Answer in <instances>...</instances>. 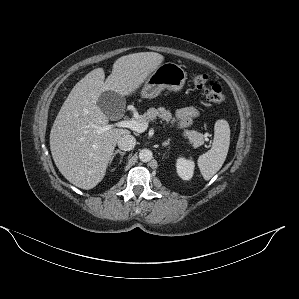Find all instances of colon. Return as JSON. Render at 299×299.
Segmentation results:
<instances>
[{
    "mask_svg": "<svg viewBox=\"0 0 299 299\" xmlns=\"http://www.w3.org/2000/svg\"><path fill=\"white\" fill-rule=\"evenodd\" d=\"M192 84L199 90H201L206 98L214 103H223L227 99V95L224 89L209 76L203 72H193L190 74Z\"/></svg>",
    "mask_w": 299,
    "mask_h": 299,
    "instance_id": "5ec220e1",
    "label": "colon"
}]
</instances>
